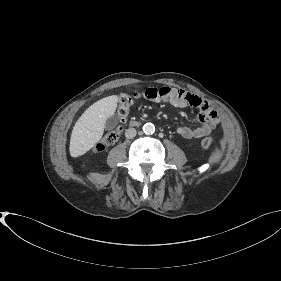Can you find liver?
<instances>
[{"mask_svg":"<svg viewBox=\"0 0 281 281\" xmlns=\"http://www.w3.org/2000/svg\"><path fill=\"white\" fill-rule=\"evenodd\" d=\"M117 102V95H111L86 109L72 130L69 146L71 157L84 155L102 138L105 122L114 115Z\"/></svg>","mask_w":281,"mask_h":281,"instance_id":"liver-1","label":"liver"}]
</instances>
